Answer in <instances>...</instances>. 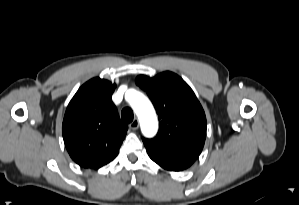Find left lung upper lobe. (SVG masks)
<instances>
[{"instance_id": "left-lung-upper-lobe-1", "label": "left lung upper lobe", "mask_w": 299, "mask_h": 205, "mask_svg": "<svg viewBox=\"0 0 299 205\" xmlns=\"http://www.w3.org/2000/svg\"><path fill=\"white\" fill-rule=\"evenodd\" d=\"M136 84L147 92L161 125L153 139L143 141L176 139L204 144L207 127L204 110L181 77L169 71L153 78L140 75Z\"/></svg>"}]
</instances>
